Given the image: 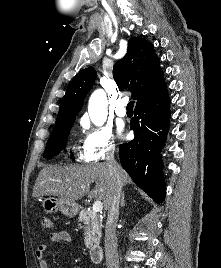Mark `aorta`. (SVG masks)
Instances as JSON below:
<instances>
[{
  "label": "aorta",
  "mask_w": 221,
  "mask_h": 268,
  "mask_svg": "<svg viewBox=\"0 0 221 268\" xmlns=\"http://www.w3.org/2000/svg\"><path fill=\"white\" fill-rule=\"evenodd\" d=\"M88 112L92 123L101 126L107 118V97L106 93L101 90H95L88 103Z\"/></svg>",
  "instance_id": "762f6f07"
}]
</instances>
